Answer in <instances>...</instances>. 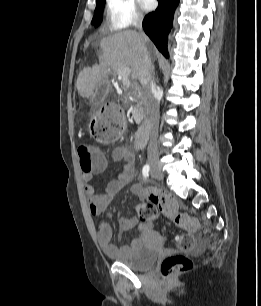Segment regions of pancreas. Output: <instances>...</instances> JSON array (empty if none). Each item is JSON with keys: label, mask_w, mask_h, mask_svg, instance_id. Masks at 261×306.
Listing matches in <instances>:
<instances>
[{"label": "pancreas", "mask_w": 261, "mask_h": 306, "mask_svg": "<svg viewBox=\"0 0 261 306\" xmlns=\"http://www.w3.org/2000/svg\"><path fill=\"white\" fill-rule=\"evenodd\" d=\"M133 101L136 103L135 106L132 108L131 112L133 118L137 124H140L144 118V101L143 99H138L136 96H133Z\"/></svg>", "instance_id": "pancreas-1"}]
</instances>
